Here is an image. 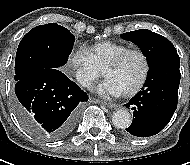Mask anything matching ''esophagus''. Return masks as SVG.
I'll list each match as a JSON object with an SVG mask.
<instances>
[{
	"label": "esophagus",
	"mask_w": 190,
	"mask_h": 165,
	"mask_svg": "<svg viewBox=\"0 0 190 165\" xmlns=\"http://www.w3.org/2000/svg\"><path fill=\"white\" fill-rule=\"evenodd\" d=\"M99 103H101L102 105H104L106 107H109V108H115V107H117V104L111 103V102L99 101Z\"/></svg>",
	"instance_id": "esophagus-1"
}]
</instances>
